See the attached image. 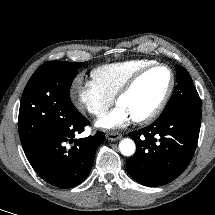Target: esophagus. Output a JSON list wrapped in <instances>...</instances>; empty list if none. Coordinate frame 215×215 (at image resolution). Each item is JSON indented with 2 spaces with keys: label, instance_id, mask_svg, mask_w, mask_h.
<instances>
[{
  "label": "esophagus",
  "instance_id": "34e87169",
  "mask_svg": "<svg viewBox=\"0 0 215 215\" xmlns=\"http://www.w3.org/2000/svg\"><path fill=\"white\" fill-rule=\"evenodd\" d=\"M106 138L110 141H117L122 138V135L119 133H107Z\"/></svg>",
  "mask_w": 215,
  "mask_h": 215
}]
</instances>
